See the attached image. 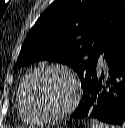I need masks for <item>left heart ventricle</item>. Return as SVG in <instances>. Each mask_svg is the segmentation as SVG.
<instances>
[{"label":"left heart ventricle","mask_w":125,"mask_h":128,"mask_svg":"<svg viewBox=\"0 0 125 128\" xmlns=\"http://www.w3.org/2000/svg\"><path fill=\"white\" fill-rule=\"evenodd\" d=\"M73 96L71 82L64 75L52 71H40L33 75L26 88L30 108L39 114L61 111Z\"/></svg>","instance_id":"1"}]
</instances>
